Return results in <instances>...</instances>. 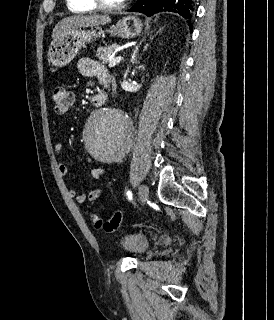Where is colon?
Returning <instances> with one entry per match:
<instances>
[{
	"label": "colon",
	"mask_w": 274,
	"mask_h": 320,
	"mask_svg": "<svg viewBox=\"0 0 274 320\" xmlns=\"http://www.w3.org/2000/svg\"><path fill=\"white\" fill-rule=\"evenodd\" d=\"M50 98L54 105L55 112L60 115L65 114L73 103L72 93L62 86L54 87L51 90ZM122 218L123 213L120 210L114 211L108 221L96 215L92 217L94 226L105 233L115 232L119 228Z\"/></svg>",
	"instance_id": "colon-1"
}]
</instances>
